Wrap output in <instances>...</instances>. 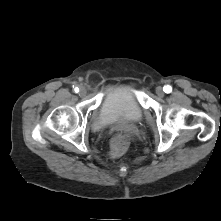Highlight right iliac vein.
Wrapping results in <instances>:
<instances>
[{"mask_svg":"<svg viewBox=\"0 0 221 221\" xmlns=\"http://www.w3.org/2000/svg\"><path fill=\"white\" fill-rule=\"evenodd\" d=\"M86 94H87L86 89L85 88H81L80 91H79V96L84 97V96H86Z\"/></svg>","mask_w":221,"mask_h":221,"instance_id":"63e3f726","label":"right iliac vein"}]
</instances>
